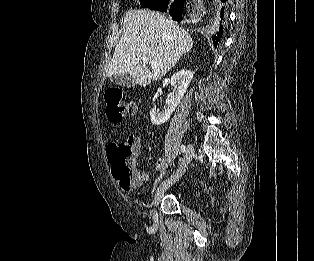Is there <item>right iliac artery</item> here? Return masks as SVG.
Returning <instances> with one entry per match:
<instances>
[{
    "mask_svg": "<svg viewBox=\"0 0 314 261\" xmlns=\"http://www.w3.org/2000/svg\"><path fill=\"white\" fill-rule=\"evenodd\" d=\"M181 151H182L183 153H185V152H186V148H185V146H184V145H182V146H181Z\"/></svg>",
    "mask_w": 314,
    "mask_h": 261,
    "instance_id": "82829eb1",
    "label": "right iliac artery"
}]
</instances>
